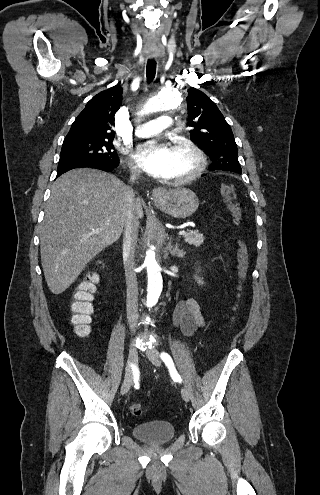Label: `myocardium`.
I'll return each mask as SVG.
<instances>
[{
  "mask_svg": "<svg viewBox=\"0 0 320 495\" xmlns=\"http://www.w3.org/2000/svg\"><path fill=\"white\" fill-rule=\"evenodd\" d=\"M172 148H183L186 150L194 161L193 168L185 175L173 180L176 184H186L196 179L205 169L206 159L202 150L191 140L177 138L172 140Z\"/></svg>",
  "mask_w": 320,
  "mask_h": 495,
  "instance_id": "f54148a6",
  "label": "myocardium"
}]
</instances>
